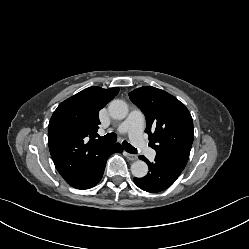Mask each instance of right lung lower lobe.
<instances>
[{
    "instance_id": "98d812e1",
    "label": "right lung lower lobe",
    "mask_w": 249,
    "mask_h": 249,
    "mask_svg": "<svg viewBox=\"0 0 249 249\" xmlns=\"http://www.w3.org/2000/svg\"><path fill=\"white\" fill-rule=\"evenodd\" d=\"M122 151L119 143L108 144L99 149L80 178L71 186L77 189H88L95 186L103 176L108 157L114 152Z\"/></svg>"
}]
</instances>
